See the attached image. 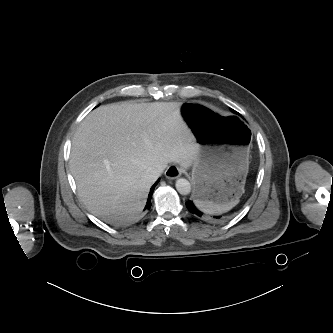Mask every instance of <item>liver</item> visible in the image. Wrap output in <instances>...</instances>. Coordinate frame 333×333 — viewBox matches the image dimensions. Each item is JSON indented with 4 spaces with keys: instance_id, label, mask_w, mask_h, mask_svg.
I'll list each match as a JSON object with an SVG mask.
<instances>
[{
    "instance_id": "6515ba94",
    "label": "liver",
    "mask_w": 333,
    "mask_h": 333,
    "mask_svg": "<svg viewBox=\"0 0 333 333\" xmlns=\"http://www.w3.org/2000/svg\"><path fill=\"white\" fill-rule=\"evenodd\" d=\"M180 107L179 102L115 103L80 123L70 168L90 212L111 223L136 221L155 181L145 176L149 168L193 165L199 145Z\"/></svg>"
}]
</instances>
